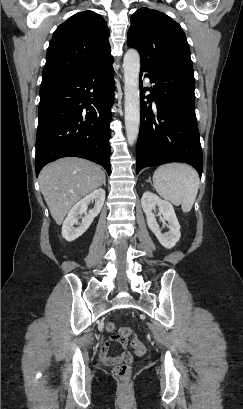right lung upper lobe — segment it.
I'll list each match as a JSON object with an SVG mask.
<instances>
[{"instance_id":"1","label":"right lung upper lobe","mask_w":243,"mask_h":409,"mask_svg":"<svg viewBox=\"0 0 243 409\" xmlns=\"http://www.w3.org/2000/svg\"><path fill=\"white\" fill-rule=\"evenodd\" d=\"M109 29L100 14L78 12L54 32L46 55L42 81L84 73L113 59Z\"/></svg>"}]
</instances>
